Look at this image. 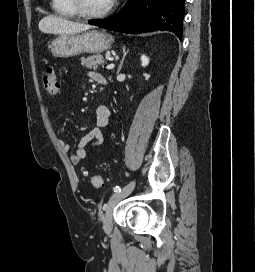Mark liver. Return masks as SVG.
I'll list each match as a JSON object with an SVG mask.
<instances>
[{"instance_id": "obj_1", "label": "liver", "mask_w": 255, "mask_h": 272, "mask_svg": "<svg viewBox=\"0 0 255 272\" xmlns=\"http://www.w3.org/2000/svg\"><path fill=\"white\" fill-rule=\"evenodd\" d=\"M39 30L48 34H76L92 28L91 25L69 21L62 17L48 15L40 20Z\"/></svg>"}]
</instances>
